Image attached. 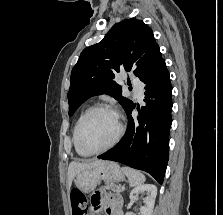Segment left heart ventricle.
I'll return each mask as SVG.
<instances>
[{"mask_svg":"<svg viewBox=\"0 0 223 215\" xmlns=\"http://www.w3.org/2000/svg\"><path fill=\"white\" fill-rule=\"evenodd\" d=\"M118 131L114 114L107 110L93 113L84 123L80 144L84 151H98L109 145Z\"/></svg>","mask_w":223,"mask_h":215,"instance_id":"1","label":"left heart ventricle"}]
</instances>
